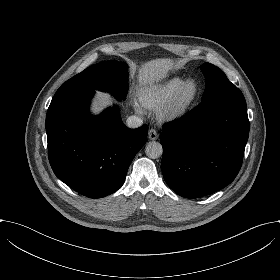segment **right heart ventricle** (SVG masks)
<instances>
[{
    "label": "right heart ventricle",
    "mask_w": 280,
    "mask_h": 280,
    "mask_svg": "<svg viewBox=\"0 0 280 280\" xmlns=\"http://www.w3.org/2000/svg\"><path fill=\"white\" fill-rule=\"evenodd\" d=\"M183 78L179 76L170 77L158 84H143L138 89V100L146 108H164L176 93Z\"/></svg>",
    "instance_id": "1"
}]
</instances>
